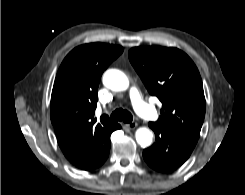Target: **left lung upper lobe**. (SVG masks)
<instances>
[{
  "instance_id": "obj_1",
  "label": "left lung upper lobe",
  "mask_w": 245,
  "mask_h": 195,
  "mask_svg": "<svg viewBox=\"0 0 245 195\" xmlns=\"http://www.w3.org/2000/svg\"><path fill=\"white\" fill-rule=\"evenodd\" d=\"M129 60L151 95L162 103L159 127L172 128L199 138L206 102L199 71L177 48L135 47Z\"/></svg>"
}]
</instances>
